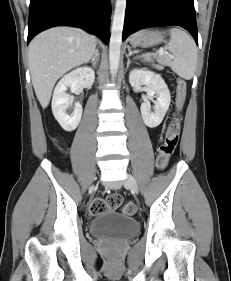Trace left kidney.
Returning a JSON list of instances; mask_svg holds the SVG:
<instances>
[{"label": "left kidney", "instance_id": "obj_1", "mask_svg": "<svg viewBox=\"0 0 231 281\" xmlns=\"http://www.w3.org/2000/svg\"><path fill=\"white\" fill-rule=\"evenodd\" d=\"M129 82L133 87L146 85L147 98L140 106L142 119L145 125L150 128L159 126L171 101L170 91L163 78L147 69H133L129 74ZM154 95L157 100L154 102V111L152 112L149 100H152Z\"/></svg>", "mask_w": 231, "mask_h": 281}]
</instances>
